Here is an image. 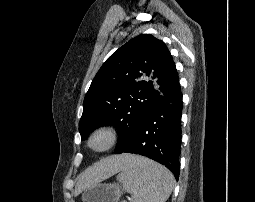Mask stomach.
<instances>
[{"label": "stomach", "instance_id": "0dacf381", "mask_svg": "<svg viewBox=\"0 0 255 202\" xmlns=\"http://www.w3.org/2000/svg\"><path fill=\"white\" fill-rule=\"evenodd\" d=\"M124 189L118 184L95 183L85 188L82 202H119Z\"/></svg>", "mask_w": 255, "mask_h": 202}]
</instances>
